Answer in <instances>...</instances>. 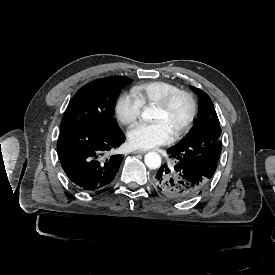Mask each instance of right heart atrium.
I'll list each match as a JSON object with an SVG mask.
<instances>
[{
  "label": "right heart atrium",
  "mask_w": 275,
  "mask_h": 275,
  "mask_svg": "<svg viewBox=\"0 0 275 275\" xmlns=\"http://www.w3.org/2000/svg\"><path fill=\"white\" fill-rule=\"evenodd\" d=\"M144 104L134 92L123 93L117 100L115 111L124 125H132L139 118Z\"/></svg>",
  "instance_id": "obj_1"
}]
</instances>
